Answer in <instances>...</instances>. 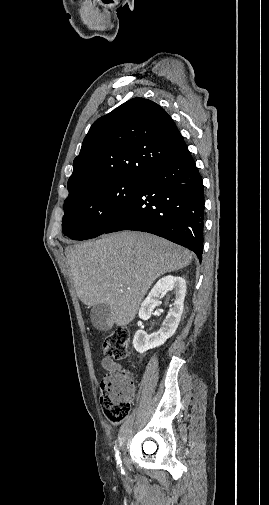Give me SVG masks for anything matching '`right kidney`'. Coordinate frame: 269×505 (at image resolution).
Segmentation results:
<instances>
[{"label": "right kidney", "instance_id": "right-kidney-1", "mask_svg": "<svg viewBox=\"0 0 269 505\" xmlns=\"http://www.w3.org/2000/svg\"><path fill=\"white\" fill-rule=\"evenodd\" d=\"M173 291L175 301L170 308L164 323L156 333L148 335L143 330H138L133 338V346L139 353H144L163 345L167 339L174 335L181 320L186 293V281L180 276L168 275L161 278L151 289L147 298L139 309V318L148 320L156 306L159 305V297L162 293Z\"/></svg>", "mask_w": 269, "mask_h": 505}]
</instances>
